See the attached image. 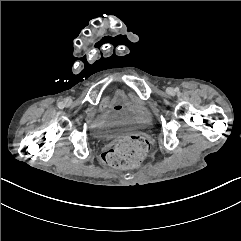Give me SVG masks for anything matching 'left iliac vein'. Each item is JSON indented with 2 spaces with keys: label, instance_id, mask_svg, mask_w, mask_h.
I'll use <instances>...</instances> for the list:
<instances>
[{
  "label": "left iliac vein",
  "instance_id": "4c4485c4",
  "mask_svg": "<svg viewBox=\"0 0 241 241\" xmlns=\"http://www.w3.org/2000/svg\"><path fill=\"white\" fill-rule=\"evenodd\" d=\"M166 92H167L168 94L173 95V94H174V92H175V90H174V88H173V87H168V88L166 89Z\"/></svg>",
  "mask_w": 241,
  "mask_h": 241
}]
</instances>
